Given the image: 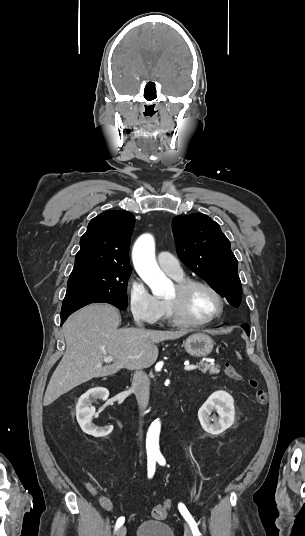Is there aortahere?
<instances>
[{
  "mask_svg": "<svg viewBox=\"0 0 305 536\" xmlns=\"http://www.w3.org/2000/svg\"><path fill=\"white\" fill-rule=\"evenodd\" d=\"M132 259L136 272L150 287L153 295L163 296L172 287V282L159 268L155 259V241L152 235L140 236L134 244ZM154 426L160 427L157 420Z\"/></svg>",
  "mask_w": 305,
  "mask_h": 536,
  "instance_id": "obj_1",
  "label": "aorta"
}]
</instances>
